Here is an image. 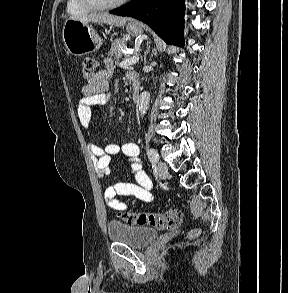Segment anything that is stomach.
Returning a JSON list of instances; mask_svg holds the SVG:
<instances>
[{
  "instance_id": "0dacf381",
  "label": "stomach",
  "mask_w": 288,
  "mask_h": 293,
  "mask_svg": "<svg viewBox=\"0 0 288 293\" xmlns=\"http://www.w3.org/2000/svg\"><path fill=\"white\" fill-rule=\"evenodd\" d=\"M129 34L137 36L143 29L137 23L129 22L126 26ZM62 39L67 52L74 56H83L97 51L102 45V39L88 23L75 19H67L62 30Z\"/></svg>"
}]
</instances>
